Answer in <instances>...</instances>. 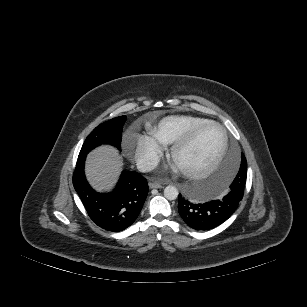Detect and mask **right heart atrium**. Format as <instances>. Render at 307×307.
Masks as SVG:
<instances>
[{
    "label": "right heart atrium",
    "mask_w": 307,
    "mask_h": 307,
    "mask_svg": "<svg viewBox=\"0 0 307 307\" xmlns=\"http://www.w3.org/2000/svg\"><path fill=\"white\" fill-rule=\"evenodd\" d=\"M135 159L143 170L153 168L165 150V145L160 143L151 132L134 134Z\"/></svg>",
    "instance_id": "1"
}]
</instances>
